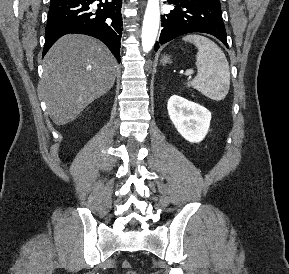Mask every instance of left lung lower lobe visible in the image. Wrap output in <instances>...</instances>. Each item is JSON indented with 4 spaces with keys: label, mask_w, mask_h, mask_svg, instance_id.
Instances as JSON below:
<instances>
[{
    "label": "left lung lower lobe",
    "mask_w": 289,
    "mask_h": 274,
    "mask_svg": "<svg viewBox=\"0 0 289 274\" xmlns=\"http://www.w3.org/2000/svg\"><path fill=\"white\" fill-rule=\"evenodd\" d=\"M176 7L161 15L163 27L155 51L172 39L192 32L208 33L218 38L227 48L226 30L219 0H168Z\"/></svg>",
    "instance_id": "left-lung-lower-lobe-1"
}]
</instances>
